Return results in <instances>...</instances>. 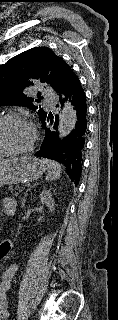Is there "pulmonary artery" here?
<instances>
[{
    "label": "pulmonary artery",
    "mask_w": 118,
    "mask_h": 320,
    "mask_svg": "<svg viewBox=\"0 0 118 320\" xmlns=\"http://www.w3.org/2000/svg\"><path fill=\"white\" fill-rule=\"evenodd\" d=\"M43 97L46 102H49V105H52L55 100V95L48 90L43 92Z\"/></svg>",
    "instance_id": "1"
}]
</instances>
